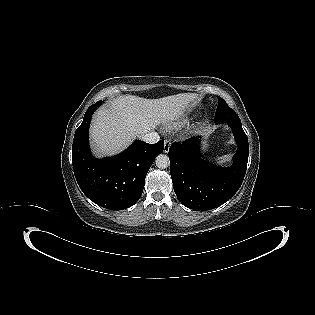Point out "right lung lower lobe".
<instances>
[{"instance_id": "obj_1", "label": "right lung lower lobe", "mask_w": 315, "mask_h": 315, "mask_svg": "<svg viewBox=\"0 0 315 315\" xmlns=\"http://www.w3.org/2000/svg\"><path fill=\"white\" fill-rule=\"evenodd\" d=\"M101 103L87 109L75 132L73 170L79 187L91 201L106 209L122 210L140 199L147 172L156 156L162 153L164 140L156 144L136 140L119 155L94 158L89 150L88 131L92 114Z\"/></svg>"}]
</instances>
